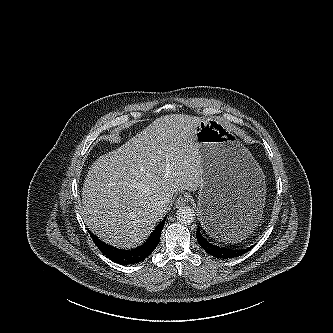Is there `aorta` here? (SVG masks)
<instances>
[{
	"instance_id": "aorta-1",
	"label": "aorta",
	"mask_w": 333,
	"mask_h": 333,
	"mask_svg": "<svg viewBox=\"0 0 333 333\" xmlns=\"http://www.w3.org/2000/svg\"><path fill=\"white\" fill-rule=\"evenodd\" d=\"M176 215L181 224L189 225L195 220V212L190 206L180 207Z\"/></svg>"
}]
</instances>
